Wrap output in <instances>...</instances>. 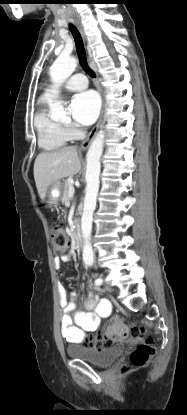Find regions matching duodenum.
Returning a JSON list of instances; mask_svg holds the SVG:
<instances>
[{"mask_svg": "<svg viewBox=\"0 0 187 415\" xmlns=\"http://www.w3.org/2000/svg\"><path fill=\"white\" fill-rule=\"evenodd\" d=\"M73 236L75 240L77 241V247H80V243L82 240V233H81V224L79 221H75L73 224V230H72Z\"/></svg>", "mask_w": 187, "mask_h": 415, "instance_id": "obj_1", "label": "duodenum"}]
</instances>
